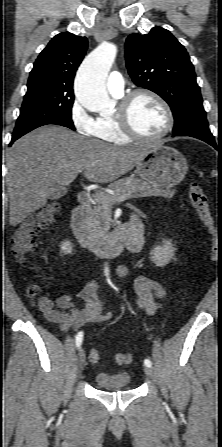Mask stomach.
Here are the masks:
<instances>
[{"label": "stomach", "mask_w": 222, "mask_h": 447, "mask_svg": "<svg viewBox=\"0 0 222 447\" xmlns=\"http://www.w3.org/2000/svg\"><path fill=\"white\" fill-rule=\"evenodd\" d=\"M188 170L185 157L163 144L153 145L137 164V173L146 182L170 188L178 185Z\"/></svg>", "instance_id": "stomach-1"}]
</instances>
